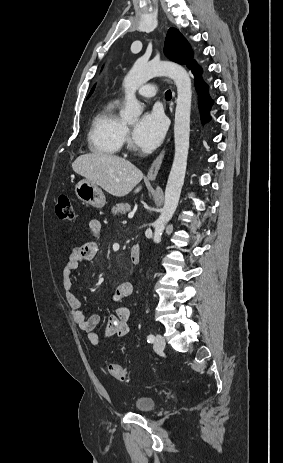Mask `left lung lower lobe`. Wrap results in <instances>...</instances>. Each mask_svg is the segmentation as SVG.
Returning a JSON list of instances; mask_svg holds the SVG:
<instances>
[{
    "mask_svg": "<svg viewBox=\"0 0 283 463\" xmlns=\"http://www.w3.org/2000/svg\"><path fill=\"white\" fill-rule=\"evenodd\" d=\"M189 68L195 75L196 80V87L199 93V104H200V112H201V119L203 122L209 119V110L213 104V101L210 99L207 90L208 86L200 79L199 73L201 69L198 67L196 63H193Z\"/></svg>",
    "mask_w": 283,
    "mask_h": 463,
    "instance_id": "0a47b994",
    "label": "left lung lower lobe"
}]
</instances>
